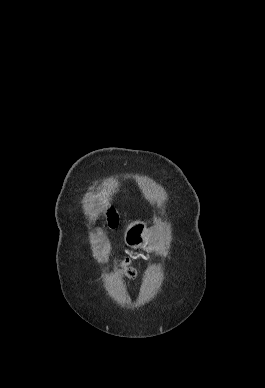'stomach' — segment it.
Listing matches in <instances>:
<instances>
[{
  "label": "stomach",
  "instance_id": "stomach-1",
  "mask_svg": "<svg viewBox=\"0 0 265 388\" xmlns=\"http://www.w3.org/2000/svg\"><path fill=\"white\" fill-rule=\"evenodd\" d=\"M125 244L133 249L142 248L146 251L152 249L151 240L144 222L136 221L131 223L124 236Z\"/></svg>",
  "mask_w": 265,
  "mask_h": 388
}]
</instances>
